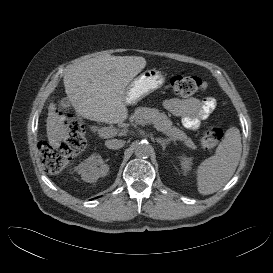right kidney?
<instances>
[{
  "label": "right kidney",
  "instance_id": "right-kidney-1",
  "mask_svg": "<svg viewBox=\"0 0 273 273\" xmlns=\"http://www.w3.org/2000/svg\"><path fill=\"white\" fill-rule=\"evenodd\" d=\"M108 167L99 154H93L81 165V177L86 182H96L101 176H105Z\"/></svg>",
  "mask_w": 273,
  "mask_h": 273
}]
</instances>
